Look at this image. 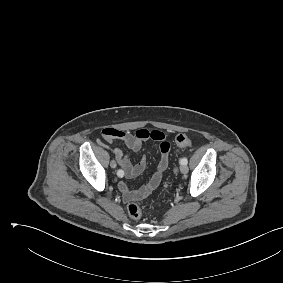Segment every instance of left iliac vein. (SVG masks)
I'll use <instances>...</instances> for the list:
<instances>
[{
  "mask_svg": "<svg viewBox=\"0 0 283 283\" xmlns=\"http://www.w3.org/2000/svg\"><path fill=\"white\" fill-rule=\"evenodd\" d=\"M180 171H181V173H183V174H187L188 171H189L188 166H187V165H181Z\"/></svg>",
  "mask_w": 283,
  "mask_h": 283,
  "instance_id": "4c4485c4",
  "label": "left iliac vein"
}]
</instances>
